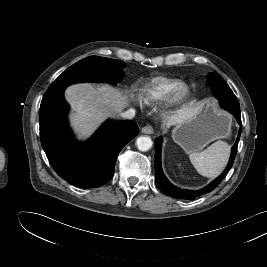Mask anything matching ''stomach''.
I'll return each instance as SVG.
<instances>
[{
    "mask_svg": "<svg viewBox=\"0 0 267 267\" xmlns=\"http://www.w3.org/2000/svg\"><path fill=\"white\" fill-rule=\"evenodd\" d=\"M232 118L214 102H202L197 111L187 119L177 123L172 138L186 153L202 150L217 139L231 133Z\"/></svg>",
    "mask_w": 267,
    "mask_h": 267,
    "instance_id": "1",
    "label": "stomach"
}]
</instances>
